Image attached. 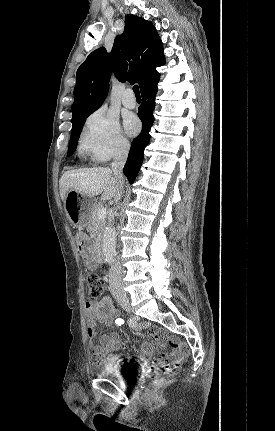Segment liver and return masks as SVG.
<instances>
[{
    "label": "liver",
    "mask_w": 275,
    "mask_h": 431,
    "mask_svg": "<svg viewBox=\"0 0 275 431\" xmlns=\"http://www.w3.org/2000/svg\"><path fill=\"white\" fill-rule=\"evenodd\" d=\"M121 187L120 182L108 168H85L66 171L60 178L59 188L62 201L70 190L77 191L89 197L102 194V200L116 196Z\"/></svg>",
    "instance_id": "1"
}]
</instances>
